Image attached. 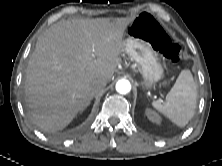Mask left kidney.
I'll use <instances>...</instances> for the list:
<instances>
[{"mask_svg": "<svg viewBox=\"0 0 222 166\" xmlns=\"http://www.w3.org/2000/svg\"><path fill=\"white\" fill-rule=\"evenodd\" d=\"M145 113H146L147 118H148L151 122L160 124L161 118H160V116H159L155 111H153V110L150 109V108H147L146 111H145Z\"/></svg>", "mask_w": 222, "mask_h": 166, "instance_id": "left-kidney-1", "label": "left kidney"}]
</instances>
